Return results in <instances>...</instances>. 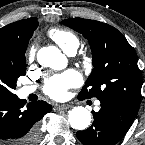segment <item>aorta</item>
Masks as SVG:
<instances>
[{
	"label": "aorta",
	"mask_w": 145,
	"mask_h": 145,
	"mask_svg": "<svg viewBox=\"0 0 145 145\" xmlns=\"http://www.w3.org/2000/svg\"><path fill=\"white\" fill-rule=\"evenodd\" d=\"M37 61L44 67L62 70L67 66V58L54 46L43 47L37 52ZM72 128L84 130L91 123V113L83 106L74 107L68 115Z\"/></svg>",
	"instance_id": "obj_1"
}]
</instances>
